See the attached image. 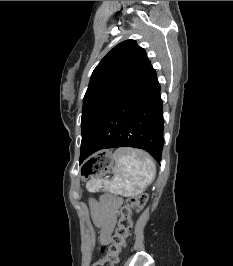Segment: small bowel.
<instances>
[{
	"label": "small bowel",
	"mask_w": 233,
	"mask_h": 266,
	"mask_svg": "<svg viewBox=\"0 0 233 266\" xmlns=\"http://www.w3.org/2000/svg\"><path fill=\"white\" fill-rule=\"evenodd\" d=\"M121 199L104 195L97 202L92 204V216L95 226L98 229L99 239L102 244L110 241L114 231L117 218V210Z\"/></svg>",
	"instance_id": "small-bowel-1"
}]
</instances>
